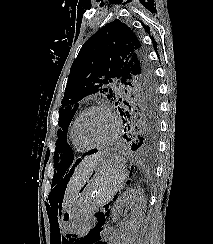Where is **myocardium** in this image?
Returning a JSON list of instances; mask_svg holds the SVG:
<instances>
[{
  "label": "myocardium",
  "instance_id": "obj_1",
  "mask_svg": "<svg viewBox=\"0 0 213 244\" xmlns=\"http://www.w3.org/2000/svg\"><path fill=\"white\" fill-rule=\"evenodd\" d=\"M95 110L104 111L110 117V119L113 123V132H112L111 136L104 142L98 143V144H89L81 138V136L79 135V132H78V128H79V124H80L81 120L83 119V117L87 113H89L91 111H95ZM119 132H120V121L118 120L117 116L114 114L112 109L106 104H96V105H91V106L85 108L76 118V120L74 122V128H73V133H74L75 138L86 149H102V148H105V147L111 145L118 137Z\"/></svg>",
  "mask_w": 213,
  "mask_h": 244
}]
</instances>
